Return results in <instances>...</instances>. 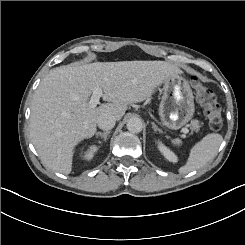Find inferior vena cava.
Here are the masks:
<instances>
[{
  "mask_svg": "<svg viewBox=\"0 0 245 245\" xmlns=\"http://www.w3.org/2000/svg\"><path fill=\"white\" fill-rule=\"evenodd\" d=\"M116 118L109 113H102L98 117L97 124L101 129H111L115 125Z\"/></svg>",
  "mask_w": 245,
  "mask_h": 245,
  "instance_id": "inferior-vena-cava-1",
  "label": "inferior vena cava"
}]
</instances>
